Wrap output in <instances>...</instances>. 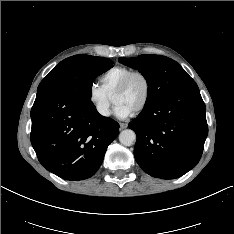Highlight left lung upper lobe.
I'll list each match as a JSON object with an SVG mask.
<instances>
[{"instance_id": "5c2ea615", "label": "left lung upper lobe", "mask_w": 234, "mask_h": 234, "mask_svg": "<svg viewBox=\"0 0 234 234\" xmlns=\"http://www.w3.org/2000/svg\"><path fill=\"white\" fill-rule=\"evenodd\" d=\"M124 65L139 70L148 84V96L143 110H148L177 89L194 80L174 60L160 55L144 54L136 58L120 57Z\"/></svg>"}]
</instances>
